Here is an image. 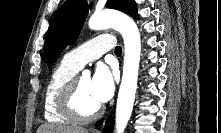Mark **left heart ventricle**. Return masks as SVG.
<instances>
[{
  "label": "left heart ventricle",
  "instance_id": "b2bd125f",
  "mask_svg": "<svg viewBox=\"0 0 221 133\" xmlns=\"http://www.w3.org/2000/svg\"><path fill=\"white\" fill-rule=\"evenodd\" d=\"M100 103L94 98L91 90V79L82 76L77 91V107L83 115L96 111Z\"/></svg>",
  "mask_w": 221,
  "mask_h": 133
}]
</instances>
